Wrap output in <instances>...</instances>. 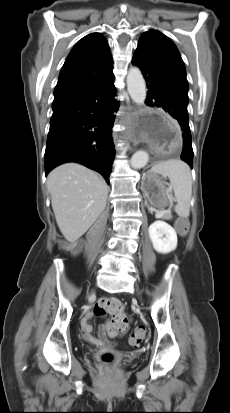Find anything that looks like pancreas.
I'll list each match as a JSON object with an SVG mask.
<instances>
[{
  "label": "pancreas",
  "mask_w": 230,
  "mask_h": 413,
  "mask_svg": "<svg viewBox=\"0 0 230 413\" xmlns=\"http://www.w3.org/2000/svg\"><path fill=\"white\" fill-rule=\"evenodd\" d=\"M163 218H164V219H167V220H170V219L172 218V216H171L170 213H165V214L163 215Z\"/></svg>",
  "instance_id": "1"
}]
</instances>
